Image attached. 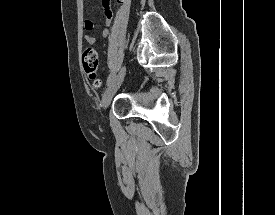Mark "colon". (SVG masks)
Instances as JSON below:
<instances>
[{"instance_id": "5ec220e1", "label": "colon", "mask_w": 275, "mask_h": 215, "mask_svg": "<svg viewBox=\"0 0 275 215\" xmlns=\"http://www.w3.org/2000/svg\"><path fill=\"white\" fill-rule=\"evenodd\" d=\"M82 67L84 74L94 82L96 86L100 85L97 78L98 52L93 46L87 45L82 51Z\"/></svg>"}]
</instances>
